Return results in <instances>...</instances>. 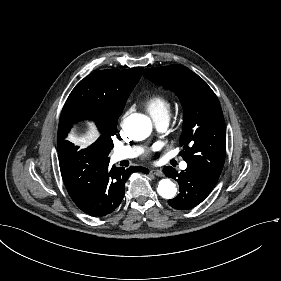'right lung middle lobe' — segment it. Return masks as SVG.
Segmentation results:
<instances>
[{
    "label": "right lung middle lobe",
    "instance_id": "right-lung-middle-lobe-1",
    "mask_svg": "<svg viewBox=\"0 0 281 281\" xmlns=\"http://www.w3.org/2000/svg\"><path fill=\"white\" fill-rule=\"evenodd\" d=\"M117 123L104 124L101 127V136L96 141V149L99 153L108 157L113 148L112 136L116 133Z\"/></svg>",
    "mask_w": 281,
    "mask_h": 281
}]
</instances>
